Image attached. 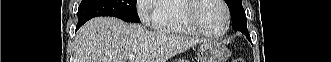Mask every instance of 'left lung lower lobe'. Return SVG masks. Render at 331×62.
Listing matches in <instances>:
<instances>
[{
    "label": "left lung lower lobe",
    "instance_id": "0a47b994",
    "mask_svg": "<svg viewBox=\"0 0 331 62\" xmlns=\"http://www.w3.org/2000/svg\"><path fill=\"white\" fill-rule=\"evenodd\" d=\"M232 27L235 31H241L250 40L249 33L244 28H242L240 25L236 24L235 22H232Z\"/></svg>",
    "mask_w": 331,
    "mask_h": 62
}]
</instances>
